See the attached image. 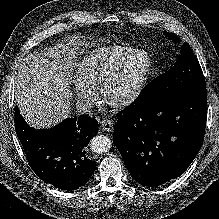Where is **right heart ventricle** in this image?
Segmentation results:
<instances>
[{"instance_id": "obj_1", "label": "right heart ventricle", "mask_w": 219, "mask_h": 219, "mask_svg": "<svg viewBox=\"0 0 219 219\" xmlns=\"http://www.w3.org/2000/svg\"><path fill=\"white\" fill-rule=\"evenodd\" d=\"M135 49L127 44H110L86 51L76 65L78 79L97 89L111 67L120 58Z\"/></svg>"}]
</instances>
